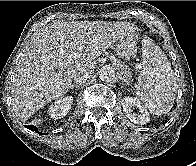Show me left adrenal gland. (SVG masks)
<instances>
[{
  "mask_svg": "<svg viewBox=\"0 0 196 166\" xmlns=\"http://www.w3.org/2000/svg\"><path fill=\"white\" fill-rule=\"evenodd\" d=\"M120 79L123 80L127 85L129 84V81L125 79L124 77L120 76Z\"/></svg>",
  "mask_w": 196,
  "mask_h": 166,
  "instance_id": "obj_1",
  "label": "left adrenal gland"
}]
</instances>
